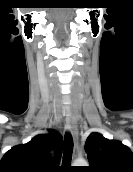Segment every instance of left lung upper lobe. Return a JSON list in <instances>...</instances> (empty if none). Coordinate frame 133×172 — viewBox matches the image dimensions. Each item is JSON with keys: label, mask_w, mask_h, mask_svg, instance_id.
Segmentation results:
<instances>
[{"label": "left lung upper lobe", "mask_w": 133, "mask_h": 172, "mask_svg": "<svg viewBox=\"0 0 133 172\" xmlns=\"http://www.w3.org/2000/svg\"><path fill=\"white\" fill-rule=\"evenodd\" d=\"M85 151L90 164L86 172H133V153L120 141L94 132L86 140Z\"/></svg>", "instance_id": "obj_1"}]
</instances>
